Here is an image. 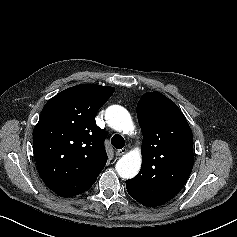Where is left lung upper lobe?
<instances>
[{"label":"left lung upper lobe","instance_id":"5c2ea615","mask_svg":"<svg viewBox=\"0 0 237 237\" xmlns=\"http://www.w3.org/2000/svg\"><path fill=\"white\" fill-rule=\"evenodd\" d=\"M143 134L142 166L126 181L130 196L146 207L162 205L185 185L193 167V135L178 106L159 92L137 104Z\"/></svg>","mask_w":237,"mask_h":237}]
</instances>
